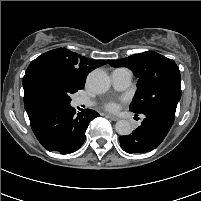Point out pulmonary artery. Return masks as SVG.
Instances as JSON below:
<instances>
[{"label":"pulmonary artery","mask_w":201,"mask_h":201,"mask_svg":"<svg viewBox=\"0 0 201 201\" xmlns=\"http://www.w3.org/2000/svg\"><path fill=\"white\" fill-rule=\"evenodd\" d=\"M111 81L116 90H124L130 86L132 81V72L127 68H117L111 72ZM77 105L90 107L93 102L84 98H79L76 101Z\"/></svg>","instance_id":"1"}]
</instances>
